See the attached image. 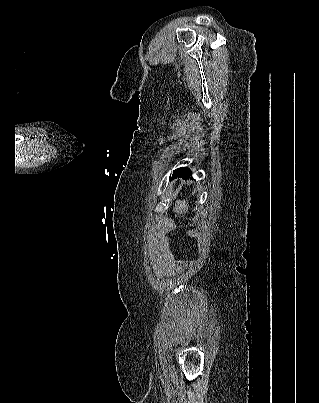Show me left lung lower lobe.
<instances>
[{"label":"left lung lower lobe","mask_w":319,"mask_h":403,"mask_svg":"<svg viewBox=\"0 0 319 403\" xmlns=\"http://www.w3.org/2000/svg\"><path fill=\"white\" fill-rule=\"evenodd\" d=\"M191 174L192 173H191L190 169H188L187 167H181V168H178V169L173 171V175H172L171 179H174V178H177V177H182L184 179H187V178H189V176Z\"/></svg>","instance_id":"0a47b994"}]
</instances>
